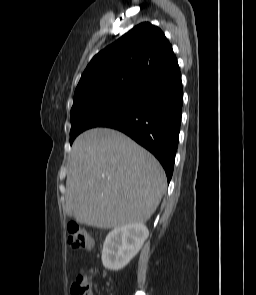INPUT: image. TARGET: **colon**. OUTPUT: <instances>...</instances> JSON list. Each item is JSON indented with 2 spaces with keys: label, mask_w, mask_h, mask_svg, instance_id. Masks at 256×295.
Segmentation results:
<instances>
[{
  "label": "colon",
  "mask_w": 256,
  "mask_h": 295,
  "mask_svg": "<svg viewBox=\"0 0 256 295\" xmlns=\"http://www.w3.org/2000/svg\"><path fill=\"white\" fill-rule=\"evenodd\" d=\"M68 244L75 250L90 251L95 249V242L90 233L80 228L76 223L68 224ZM91 279L86 275H79L72 287V295H91Z\"/></svg>",
  "instance_id": "5ec220e1"
}]
</instances>
